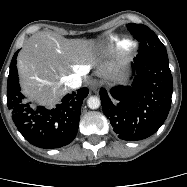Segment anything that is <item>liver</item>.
<instances>
[{"instance_id":"obj_1","label":"liver","mask_w":187,"mask_h":187,"mask_svg":"<svg viewBox=\"0 0 187 187\" xmlns=\"http://www.w3.org/2000/svg\"><path fill=\"white\" fill-rule=\"evenodd\" d=\"M94 59L90 42L68 40L51 32H38L24 43L17 59L22 92L30 100L53 107L69 92L66 80L72 73L86 75ZM128 58L101 65L97 75L111 81L124 78Z\"/></svg>"}]
</instances>
